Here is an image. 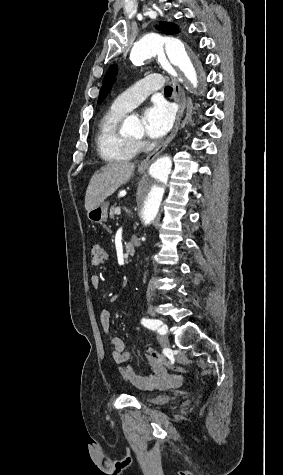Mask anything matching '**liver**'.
Wrapping results in <instances>:
<instances>
[{"label": "liver", "instance_id": "liver-1", "mask_svg": "<svg viewBox=\"0 0 283 475\" xmlns=\"http://www.w3.org/2000/svg\"><path fill=\"white\" fill-rule=\"evenodd\" d=\"M135 164L113 162L95 172L92 176L85 196V210H94L108 196H112L122 184H126L134 172Z\"/></svg>", "mask_w": 283, "mask_h": 475}]
</instances>
